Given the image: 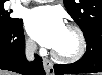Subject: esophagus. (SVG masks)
<instances>
[{"mask_svg": "<svg viewBox=\"0 0 102 75\" xmlns=\"http://www.w3.org/2000/svg\"><path fill=\"white\" fill-rule=\"evenodd\" d=\"M43 66L47 75H54L53 62L43 58Z\"/></svg>", "mask_w": 102, "mask_h": 75, "instance_id": "34e87169", "label": "esophagus"}]
</instances>
